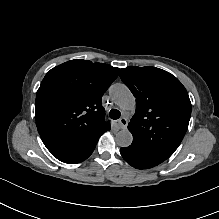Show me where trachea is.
Listing matches in <instances>:
<instances>
[{"instance_id": "trachea-1", "label": "trachea", "mask_w": 219, "mask_h": 219, "mask_svg": "<svg viewBox=\"0 0 219 219\" xmlns=\"http://www.w3.org/2000/svg\"><path fill=\"white\" fill-rule=\"evenodd\" d=\"M120 116H121V113H120V111L117 110V109H112V110H110V112H109V117H110L111 119L116 120V119H119Z\"/></svg>"}]
</instances>
